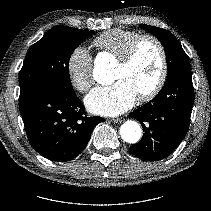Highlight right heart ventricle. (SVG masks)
<instances>
[{
	"label": "right heart ventricle",
	"mask_w": 211,
	"mask_h": 211,
	"mask_svg": "<svg viewBox=\"0 0 211 211\" xmlns=\"http://www.w3.org/2000/svg\"><path fill=\"white\" fill-rule=\"evenodd\" d=\"M141 34L135 31L112 29L99 35L93 45L114 58H121L131 43Z\"/></svg>",
	"instance_id": "obj_1"
}]
</instances>
